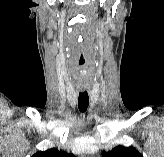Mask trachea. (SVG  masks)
Returning a JSON list of instances; mask_svg holds the SVG:
<instances>
[{
  "label": "trachea",
  "mask_w": 164,
  "mask_h": 157,
  "mask_svg": "<svg viewBox=\"0 0 164 157\" xmlns=\"http://www.w3.org/2000/svg\"><path fill=\"white\" fill-rule=\"evenodd\" d=\"M89 105V96L87 91L80 92L78 97V108L80 112H85Z\"/></svg>",
  "instance_id": "1"
}]
</instances>
